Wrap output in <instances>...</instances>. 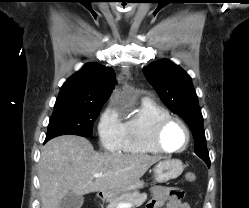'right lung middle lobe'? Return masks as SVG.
I'll use <instances>...</instances> for the list:
<instances>
[{"label": "right lung middle lobe", "mask_w": 249, "mask_h": 208, "mask_svg": "<svg viewBox=\"0 0 249 208\" xmlns=\"http://www.w3.org/2000/svg\"><path fill=\"white\" fill-rule=\"evenodd\" d=\"M103 104H66L54 106L46 138L65 134L91 137L94 121Z\"/></svg>", "instance_id": "obj_1"}]
</instances>
